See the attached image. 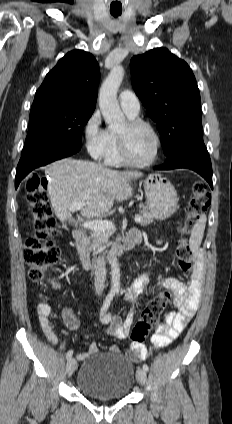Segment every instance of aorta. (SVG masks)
<instances>
[{"instance_id": "1", "label": "aorta", "mask_w": 232, "mask_h": 424, "mask_svg": "<svg viewBox=\"0 0 232 424\" xmlns=\"http://www.w3.org/2000/svg\"><path fill=\"white\" fill-rule=\"evenodd\" d=\"M124 77V69L116 65L114 66L103 84L99 92V107L107 124L112 127H118L125 121L118 101L117 92ZM111 292L119 293L120 291V266L115 252H111Z\"/></svg>"}]
</instances>
